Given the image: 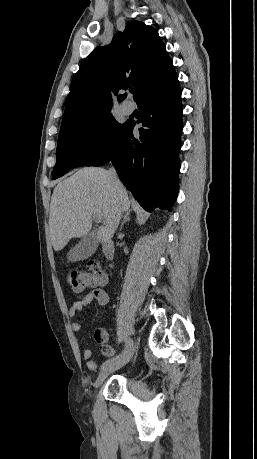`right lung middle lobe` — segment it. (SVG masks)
Here are the masks:
<instances>
[{
	"mask_svg": "<svg viewBox=\"0 0 257 459\" xmlns=\"http://www.w3.org/2000/svg\"><path fill=\"white\" fill-rule=\"evenodd\" d=\"M126 123L118 124L109 111L101 113L59 134L53 179L71 168L87 165L113 147ZM104 127L105 130L99 128Z\"/></svg>",
	"mask_w": 257,
	"mask_h": 459,
	"instance_id": "obj_1",
	"label": "right lung middle lobe"
}]
</instances>
